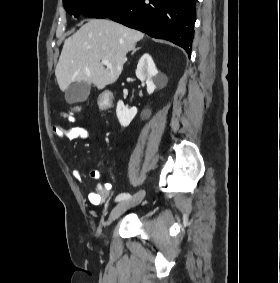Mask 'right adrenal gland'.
I'll return each mask as SVG.
<instances>
[{"label": "right adrenal gland", "mask_w": 280, "mask_h": 283, "mask_svg": "<svg viewBox=\"0 0 280 283\" xmlns=\"http://www.w3.org/2000/svg\"><path fill=\"white\" fill-rule=\"evenodd\" d=\"M140 49V47H138V48H136V49H133L132 50V55L137 51V50H139Z\"/></svg>", "instance_id": "obj_1"}]
</instances>
